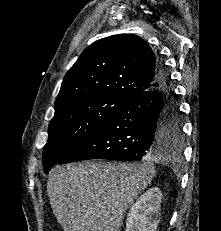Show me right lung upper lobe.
I'll use <instances>...</instances> for the list:
<instances>
[{
    "instance_id": "1",
    "label": "right lung upper lobe",
    "mask_w": 221,
    "mask_h": 231,
    "mask_svg": "<svg viewBox=\"0 0 221 231\" xmlns=\"http://www.w3.org/2000/svg\"><path fill=\"white\" fill-rule=\"evenodd\" d=\"M160 60L142 38L119 34L87 47L66 73L55 112L85 97L114 95L129 99L154 87Z\"/></svg>"
}]
</instances>
